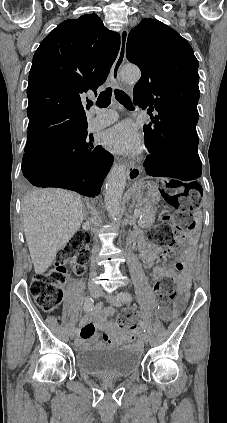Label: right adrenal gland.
Here are the masks:
<instances>
[{
    "label": "right adrenal gland",
    "instance_id": "obj_1",
    "mask_svg": "<svg viewBox=\"0 0 227 423\" xmlns=\"http://www.w3.org/2000/svg\"><path fill=\"white\" fill-rule=\"evenodd\" d=\"M83 211H84V215H86L87 210H86L85 206H83Z\"/></svg>",
    "mask_w": 227,
    "mask_h": 423
}]
</instances>
